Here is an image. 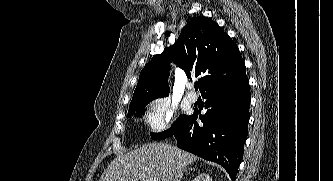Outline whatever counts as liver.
Wrapping results in <instances>:
<instances>
[{
  "label": "liver",
  "instance_id": "1",
  "mask_svg": "<svg viewBox=\"0 0 333 181\" xmlns=\"http://www.w3.org/2000/svg\"><path fill=\"white\" fill-rule=\"evenodd\" d=\"M197 156L165 143H151L116 157L99 181H181Z\"/></svg>",
  "mask_w": 333,
  "mask_h": 181
}]
</instances>
